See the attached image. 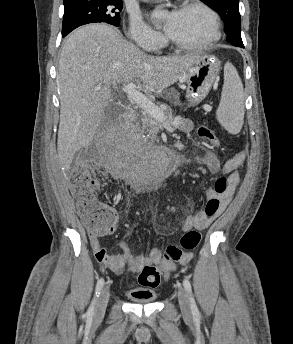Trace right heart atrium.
<instances>
[{"label":"right heart atrium","instance_id":"1","mask_svg":"<svg viewBox=\"0 0 293 344\" xmlns=\"http://www.w3.org/2000/svg\"><path fill=\"white\" fill-rule=\"evenodd\" d=\"M127 35L137 49L154 51L163 44V36L144 23L138 16L130 15Z\"/></svg>","mask_w":293,"mask_h":344}]
</instances>
